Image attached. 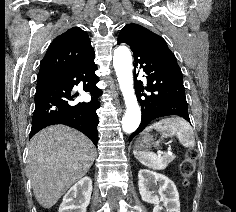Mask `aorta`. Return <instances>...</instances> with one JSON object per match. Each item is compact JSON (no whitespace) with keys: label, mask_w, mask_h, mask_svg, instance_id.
Segmentation results:
<instances>
[{"label":"aorta","mask_w":236,"mask_h":212,"mask_svg":"<svg viewBox=\"0 0 236 212\" xmlns=\"http://www.w3.org/2000/svg\"><path fill=\"white\" fill-rule=\"evenodd\" d=\"M113 65L126 105L122 129L125 133H132L140 125L141 110L134 92L132 56L128 47L121 45L114 50Z\"/></svg>","instance_id":"aorta-1"}]
</instances>
